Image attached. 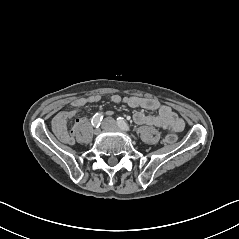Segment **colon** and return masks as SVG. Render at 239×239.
I'll return each instance as SVG.
<instances>
[{
  "instance_id": "5ec220e1",
  "label": "colon",
  "mask_w": 239,
  "mask_h": 239,
  "mask_svg": "<svg viewBox=\"0 0 239 239\" xmlns=\"http://www.w3.org/2000/svg\"><path fill=\"white\" fill-rule=\"evenodd\" d=\"M176 141V135L174 134H168L167 136H165V138L163 139V143L164 144H171L173 142Z\"/></svg>"
}]
</instances>
